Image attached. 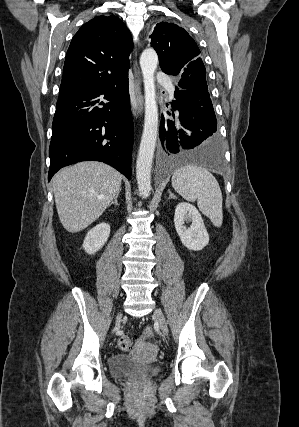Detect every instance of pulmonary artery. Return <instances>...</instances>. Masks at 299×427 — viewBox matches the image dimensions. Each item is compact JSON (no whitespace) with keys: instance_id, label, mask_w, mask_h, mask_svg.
Segmentation results:
<instances>
[{"instance_id":"obj_1","label":"pulmonary artery","mask_w":299,"mask_h":427,"mask_svg":"<svg viewBox=\"0 0 299 427\" xmlns=\"http://www.w3.org/2000/svg\"><path fill=\"white\" fill-rule=\"evenodd\" d=\"M159 82L162 83L166 87L169 96L173 97L175 88H174L173 83L170 81V79H168L167 77L162 76L159 79Z\"/></svg>"}]
</instances>
